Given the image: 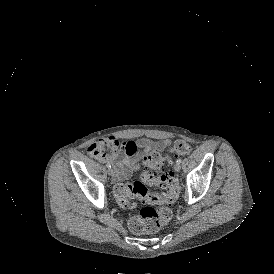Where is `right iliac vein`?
Returning <instances> with one entry per match:
<instances>
[{"instance_id":"63e3f726","label":"right iliac vein","mask_w":274,"mask_h":274,"mask_svg":"<svg viewBox=\"0 0 274 274\" xmlns=\"http://www.w3.org/2000/svg\"><path fill=\"white\" fill-rule=\"evenodd\" d=\"M108 174L110 175V176H114V170L112 169V168H110L109 170H108ZM115 180V178H113V181Z\"/></svg>"}]
</instances>
